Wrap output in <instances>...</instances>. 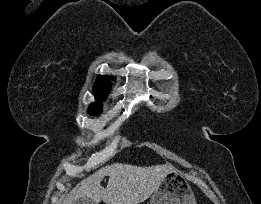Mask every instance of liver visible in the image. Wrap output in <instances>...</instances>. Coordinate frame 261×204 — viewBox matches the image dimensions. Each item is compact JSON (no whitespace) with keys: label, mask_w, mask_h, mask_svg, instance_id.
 <instances>
[{"label":"liver","mask_w":261,"mask_h":204,"mask_svg":"<svg viewBox=\"0 0 261 204\" xmlns=\"http://www.w3.org/2000/svg\"><path fill=\"white\" fill-rule=\"evenodd\" d=\"M174 171L171 165L139 167L114 163L105 166L78 183L62 204H74L80 198H89L96 204H139L145 201L161 184L165 176ZM109 176L107 187L101 181Z\"/></svg>","instance_id":"liver-1"}]
</instances>
